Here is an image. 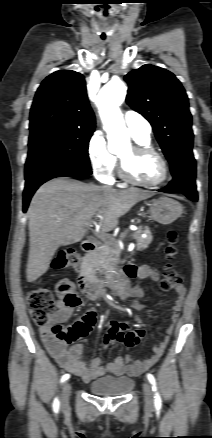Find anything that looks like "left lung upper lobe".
I'll use <instances>...</instances> for the list:
<instances>
[{"mask_svg":"<svg viewBox=\"0 0 212 438\" xmlns=\"http://www.w3.org/2000/svg\"><path fill=\"white\" fill-rule=\"evenodd\" d=\"M124 79L129 85L128 105L151 123L167 160L192 150L194 135L188 97L174 74L146 64Z\"/></svg>","mask_w":212,"mask_h":438,"instance_id":"obj_1","label":"left lung upper lobe"}]
</instances>
